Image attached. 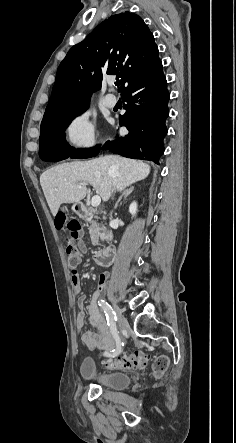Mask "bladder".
Here are the masks:
<instances>
[{
  "mask_svg": "<svg viewBox=\"0 0 236 443\" xmlns=\"http://www.w3.org/2000/svg\"><path fill=\"white\" fill-rule=\"evenodd\" d=\"M81 375L86 381L94 382L102 387L124 390L131 384V379L124 373L115 371H98L91 359H85L81 364Z\"/></svg>",
  "mask_w": 236,
  "mask_h": 443,
  "instance_id": "bladder-1",
  "label": "bladder"
}]
</instances>
